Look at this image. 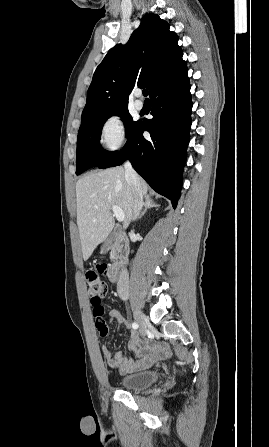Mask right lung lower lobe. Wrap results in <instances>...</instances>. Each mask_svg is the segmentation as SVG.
Returning <instances> with one entry per match:
<instances>
[{
  "instance_id": "98d812e1",
  "label": "right lung lower lobe",
  "mask_w": 269,
  "mask_h": 447,
  "mask_svg": "<svg viewBox=\"0 0 269 447\" xmlns=\"http://www.w3.org/2000/svg\"><path fill=\"white\" fill-rule=\"evenodd\" d=\"M150 97L153 118L140 122L125 146L98 168L119 166L129 159L146 182L171 199L175 208L191 127L192 101L186 63L156 85ZM143 131L150 133V140L143 137Z\"/></svg>"
}]
</instances>
